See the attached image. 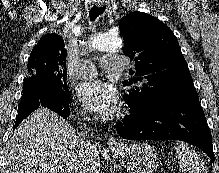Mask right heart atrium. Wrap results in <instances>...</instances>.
<instances>
[{
  "instance_id": "1",
  "label": "right heart atrium",
  "mask_w": 219,
  "mask_h": 173,
  "mask_svg": "<svg viewBox=\"0 0 219 173\" xmlns=\"http://www.w3.org/2000/svg\"><path fill=\"white\" fill-rule=\"evenodd\" d=\"M81 114L83 115V116H86V112L85 111H81Z\"/></svg>"
}]
</instances>
